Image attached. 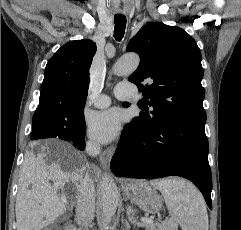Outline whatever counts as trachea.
I'll use <instances>...</instances> for the list:
<instances>
[{
	"instance_id": "obj_1",
	"label": "trachea",
	"mask_w": 241,
	"mask_h": 230,
	"mask_svg": "<svg viewBox=\"0 0 241 230\" xmlns=\"http://www.w3.org/2000/svg\"><path fill=\"white\" fill-rule=\"evenodd\" d=\"M114 37L116 40L120 41L124 37L126 28V17L124 15L116 14L114 16Z\"/></svg>"
}]
</instances>
